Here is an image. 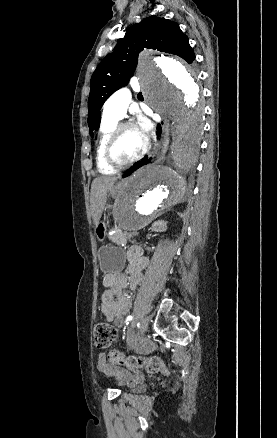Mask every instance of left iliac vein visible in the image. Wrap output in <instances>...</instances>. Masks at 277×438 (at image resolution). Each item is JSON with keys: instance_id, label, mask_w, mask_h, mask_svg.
<instances>
[{"instance_id": "4c4485c4", "label": "left iliac vein", "mask_w": 277, "mask_h": 438, "mask_svg": "<svg viewBox=\"0 0 277 438\" xmlns=\"http://www.w3.org/2000/svg\"><path fill=\"white\" fill-rule=\"evenodd\" d=\"M148 325H149V319L143 318L142 322H141L140 329L136 335V340H139L144 336L145 332L147 331Z\"/></svg>"}]
</instances>
